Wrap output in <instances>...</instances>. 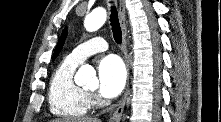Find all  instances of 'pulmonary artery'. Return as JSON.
<instances>
[{
	"label": "pulmonary artery",
	"mask_w": 221,
	"mask_h": 122,
	"mask_svg": "<svg viewBox=\"0 0 221 122\" xmlns=\"http://www.w3.org/2000/svg\"><path fill=\"white\" fill-rule=\"evenodd\" d=\"M107 48L108 44L103 38L94 37L74 48L69 54V57L76 62L81 63L89 56L98 52H103L107 50Z\"/></svg>",
	"instance_id": "pulmonary-artery-1"
}]
</instances>
